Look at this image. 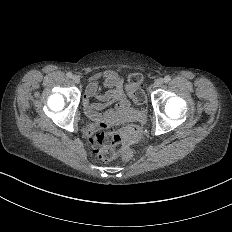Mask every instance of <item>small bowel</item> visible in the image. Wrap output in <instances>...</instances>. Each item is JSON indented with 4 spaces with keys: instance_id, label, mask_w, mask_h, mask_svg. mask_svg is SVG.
<instances>
[{
    "instance_id": "1",
    "label": "small bowel",
    "mask_w": 232,
    "mask_h": 232,
    "mask_svg": "<svg viewBox=\"0 0 232 232\" xmlns=\"http://www.w3.org/2000/svg\"><path fill=\"white\" fill-rule=\"evenodd\" d=\"M102 84L112 89L105 94H101L100 87ZM96 100H106L108 102L109 107L104 114L97 111L98 104L95 102ZM83 104L88 118L100 122H105L115 113L127 109L128 101L121 91L119 79L114 71L102 69L90 79L83 96Z\"/></svg>"
}]
</instances>
